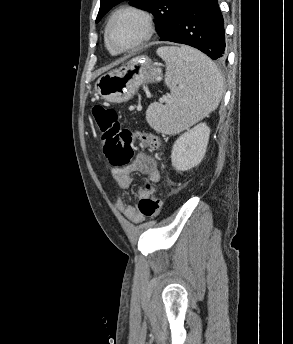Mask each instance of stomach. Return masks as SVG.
I'll return each instance as SVG.
<instances>
[{
	"mask_svg": "<svg viewBox=\"0 0 293 344\" xmlns=\"http://www.w3.org/2000/svg\"><path fill=\"white\" fill-rule=\"evenodd\" d=\"M160 79V67L147 57H136L126 65L100 76L95 89L103 99L121 103L130 100L142 84Z\"/></svg>",
	"mask_w": 293,
	"mask_h": 344,
	"instance_id": "obj_1",
	"label": "stomach"
}]
</instances>
